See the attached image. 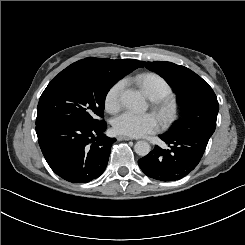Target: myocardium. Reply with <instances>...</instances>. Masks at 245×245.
Wrapping results in <instances>:
<instances>
[{"mask_svg":"<svg viewBox=\"0 0 245 245\" xmlns=\"http://www.w3.org/2000/svg\"><path fill=\"white\" fill-rule=\"evenodd\" d=\"M158 113L165 123H169L176 114V103L171 96L156 99Z\"/></svg>","mask_w":245,"mask_h":245,"instance_id":"1","label":"myocardium"}]
</instances>
